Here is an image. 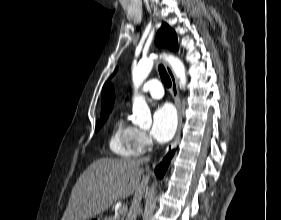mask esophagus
I'll list each match as a JSON object with an SVG mask.
<instances>
[{
    "mask_svg": "<svg viewBox=\"0 0 281 220\" xmlns=\"http://www.w3.org/2000/svg\"><path fill=\"white\" fill-rule=\"evenodd\" d=\"M165 68L172 82V96L174 98L175 105L178 112V128L174 140L166 148L165 153H168L169 151H171L173 148L177 146L180 140L181 129H182V109H181V101H180L178 84L175 74L169 64L166 63Z\"/></svg>",
    "mask_w": 281,
    "mask_h": 220,
    "instance_id": "obj_1",
    "label": "esophagus"
}]
</instances>
